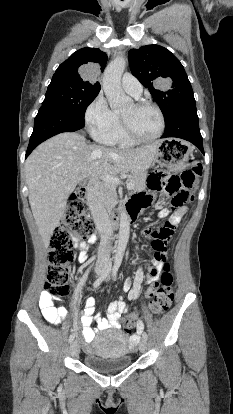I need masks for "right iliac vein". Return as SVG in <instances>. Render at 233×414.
Listing matches in <instances>:
<instances>
[{
  "mask_svg": "<svg viewBox=\"0 0 233 414\" xmlns=\"http://www.w3.org/2000/svg\"><path fill=\"white\" fill-rule=\"evenodd\" d=\"M97 275H101L103 273L102 269H98L96 271ZM80 348L77 341H72L70 345V354L71 356H77L79 354Z\"/></svg>",
  "mask_w": 233,
  "mask_h": 414,
  "instance_id": "63e3f726",
  "label": "right iliac vein"
}]
</instances>
